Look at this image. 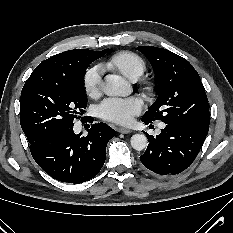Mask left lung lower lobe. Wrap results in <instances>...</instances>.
<instances>
[{
	"instance_id": "left-lung-lower-lobe-1",
	"label": "left lung lower lobe",
	"mask_w": 233,
	"mask_h": 233,
	"mask_svg": "<svg viewBox=\"0 0 233 233\" xmlns=\"http://www.w3.org/2000/svg\"><path fill=\"white\" fill-rule=\"evenodd\" d=\"M207 133V130L187 123L166 124L156 137L147 134L149 144L140 156L141 162L159 175L180 173L192 164Z\"/></svg>"
}]
</instances>
